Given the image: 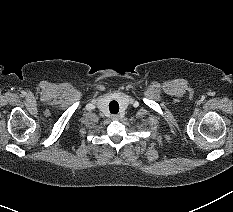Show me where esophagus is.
Segmentation results:
<instances>
[{
	"label": "esophagus",
	"instance_id": "esophagus-1",
	"mask_svg": "<svg viewBox=\"0 0 233 212\" xmlns=\"http://www.w3.org/2000/svg\"><path fill=\"white\" fill-rule=\"evenodd\" d=\"M111 117H112L113 119H118V118H119V115H118V114H113Z\"/></svg>",
	"mask_w": 233,
	"mask_h": 212
}]
</instances>
